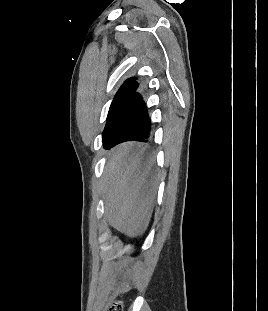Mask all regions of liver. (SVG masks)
<instances>
[{
    "mask_svg": "<svg viewBox=\"0 0 268 311\" xmlns=\"http://www.w3.org/2000/svg\"><path fill=\"white\" fill-rule=\"evenodd\" d=\"M157 189L153 161L138 143H123L112 150L104 171L103 196L109 224L136 237L147 229Z\"/></svg>",
    "mask_w": 268,
    "mask_h": 311,
    "instance_id": "obj_1",
    "label": "liver"
}]
</instances>
